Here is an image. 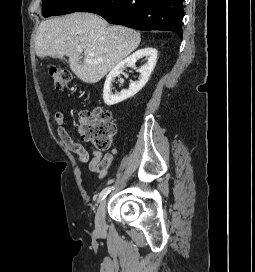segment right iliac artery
I'll return each mask as SVG.
<instances>
[{"label": "right iliac artery", "instance_id": "right-iliac-artery-1", "mask_svg": "<svg viewBox=\"0 0 255 272\" xmlns=\"http://www.w3.org/2000/svg\"><path fill=\"white\" fill-rule=\"evenodd\" d=\"M113 189V186L104 188L99 195V201L103 200Z\"/></svg>", "mask_w": 255, "mask_h": 272}]
</instances>
